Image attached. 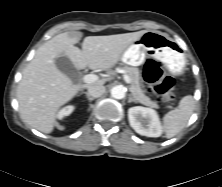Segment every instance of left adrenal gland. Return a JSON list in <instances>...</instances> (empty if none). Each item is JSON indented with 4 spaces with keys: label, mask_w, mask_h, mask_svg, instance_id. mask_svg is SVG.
<instances>
[{
    "label": "left adrenal gland",
    "mask_w": 222,
    "mask_h": 187,
    "mask_svg": "<svg viewBox=\"0 0 222 187\" xmlns=\"http://www.w3.org/2000/svg\"><path fill=\"white\" fill-rule=\"evenodd\" d=\"M128 102H134V103H137V101L133 98V96L130 94L129 95V99H128Z\"/></svg>",
    "instance_id": "a2214340"
}]
</instances>
